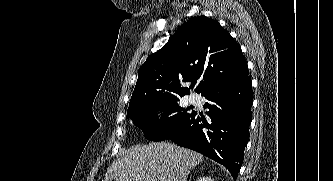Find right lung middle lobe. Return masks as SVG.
<instances>
[{
    "label": "right lung middle lobe",
    "instance_id": "right-lung-middle-lobe-1",
    "mask_svg": "<svg viewBox=\"0 0 333 181\" xmlns=\"http://www.w3.org/2000/svg\"><path fill=\"white\" fill-rule=\"evenodd\" d=\"M178 98L153 100L129 109L127 118L139 127L149 140L161 141L174 135L179 127L192 115L177 103ZM163 110V118H157V111Z\"/></svg>",
    "mask_w": 333,
    "mask_h": 181
}]
</instances>
